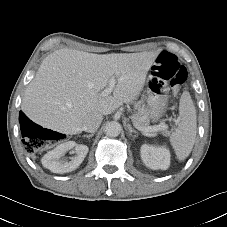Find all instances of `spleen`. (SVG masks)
Instances as JSON below:
<instances>
[{"instance_id": "1", "label": "spleen", "mask_w": 227, "mask_h": 227, "mask_svg": "<svg viewBox=\"0 0 227 227\" xmlns=\"http://www.w3.org/2000/svg\"><path fill=\"white\" fill-rule=\"evenodd\" d=\"M180 123L170 136L177 159L182 161L191 153L197 132V116L189 92L184 91L179 102Z\"/></svg>"}]
</instances>
